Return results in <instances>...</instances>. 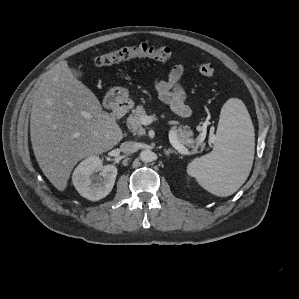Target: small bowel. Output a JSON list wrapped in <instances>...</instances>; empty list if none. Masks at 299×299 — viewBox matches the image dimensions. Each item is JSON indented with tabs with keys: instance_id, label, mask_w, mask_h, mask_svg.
I'll return each instance as SVG.
<instances>
[{
	"instance_id": "1",
	"label": "small bowel",
	"mask_w": 299,
	"mask_h": 299,
	"mask_svg": "<svg viewBox=\"0 0 299 299\" xmlns=\"http://www.w3.org/2000/svg\"><path fill=\"white\" fill-rule=\"evenodd\" d=\"M183 71L181 64H175L171 68L167 80H157L155 82V89L162 102L168 104L173 112L186 118L191 115V110L185 103V92L180 85Z\"/></svg>"
}]
</instances>
